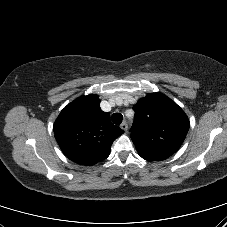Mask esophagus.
I'll list each match as a JSON object with an SVG mask.
<instances>
[{
	"instance_id": "obj_1",
	"label": "esophagus",
	"mask_w": 227,
	"mask_h": 227,
	"mask_svg": "<svg viewBox=\"0 0 227 227\" xmlns=\"http://www.w3.org/2000/svg\"><path fill=\"white\" fill-rule=\"evenodd\" d=\"M120 127H121V129L124 130V131H127V129H128V125H127L126 122H122V123L120 124Z\"/></svg>"
}]
</instances>
